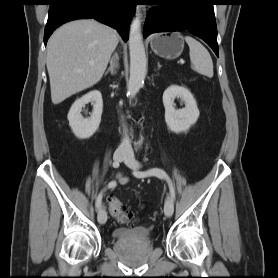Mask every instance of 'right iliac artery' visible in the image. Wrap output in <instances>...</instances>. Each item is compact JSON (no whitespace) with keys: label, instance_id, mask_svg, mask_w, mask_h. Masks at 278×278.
I'll return each mask as SVG.
<instances>
[{"label":"right iliac artery","instance_id":"obj_1","mask_svg":"<svg viewBox=\"0 0 278 278\" xmlns=\"http://www.w3.org/2000/svg\"><path fill=\"white\" fill-rule=\"evenodd\" d=\"M113 167H114V168H118V167H119V162H114V163H113ZM115 185H116V182L112 181V182H110V183L107 185V188H113V187H115ZM105 190H106V189H103V190L99 193V195H98V197H97V199H96V208H97V209H99V208L101 207V202H102V198H103V194H104Z\"/></svg>","mask_w":278,"mask_h":278}]
</instances>
